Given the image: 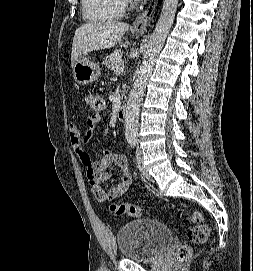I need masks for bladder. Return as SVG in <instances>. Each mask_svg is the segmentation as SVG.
<instances>
[{
	"label": "bladder",
	"mask_w": 253,
	"mask_h": 271,
	"mask_svg": "<svg viewBox=\"0 0 253 271\" xmlns=\"http://www.w3.org/2000/svg\"><path fill=\"white\" fill-rule=\"evenodd\" d=\"M172 230L153 219H140L126 223L116 233L120 254L125 259L153 261L172 241Z\"/></svg>",
	"instance_id": "obj_1"
}]
</instances>
